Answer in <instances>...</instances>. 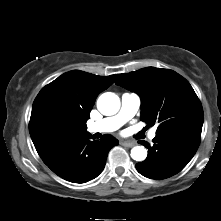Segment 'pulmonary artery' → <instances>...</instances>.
<instances>
[{
    "instance_id": "e3ab8cb5",
    "label": "pulmonary artery",
    "mask_w": 221,
    "mask_h": 221,
    "mask_svg": "<svg viewBox=\"0 0 221 221\" xmlns=\"http://www.w3.org/2000/svg\"><path fill=\"white\" fill-rule=\"evenodd\" d=\"M140 103V97L137 94L124 93L121 97L119 112L114 116L106 117L90 124L88 126V131L91 133H110L116 131L137 113ZM155 136L156 131H150L149 138L154 139Z\"/></svg>"
}]
</instances>
